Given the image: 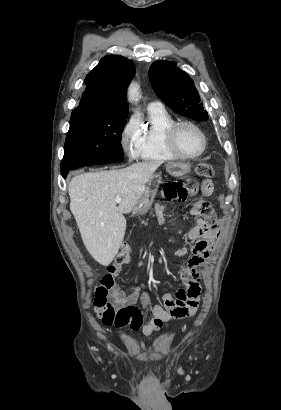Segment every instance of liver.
I'll return each instance as SVG.
<instances>
[{"mask_svg": "<svg viewBox=\"0 0 281 410\" xmlns=\"http://www.w3.org/2000/svg\"><path fill=\"white\" fill-rule=\"evenodd\" d=\"M160 165V161H146L71 179L70 210L87 251L99 264L108 266L118 253L126 231L124 214L135 207ZM117 196L122 198L120 203L115 202Z\"/></svg>", "mask_w": 281, "mask_h": 410, "instance_id": "6515ba94", "label": "liver"}]
</instances>
